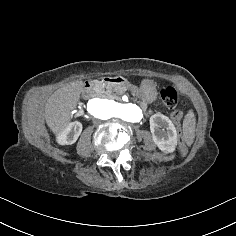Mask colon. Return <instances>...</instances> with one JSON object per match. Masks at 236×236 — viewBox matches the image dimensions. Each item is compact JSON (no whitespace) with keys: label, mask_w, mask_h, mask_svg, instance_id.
Masks as SVG:
<instances>
[{"label":"colon","mask_w":236,"mask_h":236,"mask_svg":"<svg viewBox=\"0 0 236 236\" xmlns=\"http://www.w3.org/2000/svg\"><path fill=\"white\" fill-rule=\"evenodd\" d=\"M161 97L167 108L174 109L177 106L178 95H177V91L173 87L166 86L162 88ZM181 118H182V115L179 111L173 112L172 120L177 127H180Z\"/></svg>","instance_id":"obj_1"}]
</instances>
